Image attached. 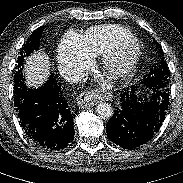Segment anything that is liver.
I'll return each instance as SVG.
<instances>
[{
  "mask_svg": "<svg viewBox=\"0 0 183 183\" xmlns=\"http://www.w3.org/2000/svg\"><path fill=\"white\" fill-rule=\"evenodd\" d=\"M49 69V58L44 51L30 55L25 65L26 83L33 87L42 85L48 77Z\"/></svg>",
  "mask_w": 183,
  "mask_h": 183,
  "instance_id": "1",
  "label": "liver"
}]
</instances>
